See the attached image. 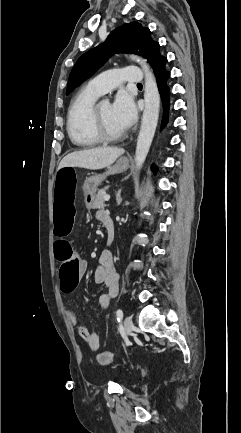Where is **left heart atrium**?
I'll use <instances>...</instances> for the list:
<instances>
[{
    "label": "left heart atrium",
    "mask_w": 241,
    "mask_h": 433,
    "mask_svg": "<svg viewBox=\"0 0 241 433\" xmlns=\"http://www.w3.org/2000/svg\"><path fill=\"white\" fill-rule=\"evenodd\" d=\"M111 107L116 122L123 130L130 128L135 123L137 118L136 106L127 93H119Z\"/></svg>",
    "instance_id": "1"
}]
</instances>
